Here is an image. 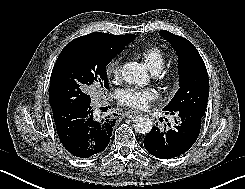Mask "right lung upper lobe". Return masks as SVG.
Masks as SVG:
<instances>
[{"label": "right lung upper lobe", "mask_w": 245, "mask_h": 189, "mask_svg": "<svg viewBox=\"0 0 245 189\" xmlns=\"http://www.w3.org/2000/svg\"><path fill=\"white\" fill-rule=\"evenodd\" d=\"M136 35H111L108 33L94 32L72 40L70 43L85 42L102 48L111 53L118 54L127 44L135 39ZM54 110V109H52Z\"/></svg>", "instance_id": "obj_1"}]
</instances>
